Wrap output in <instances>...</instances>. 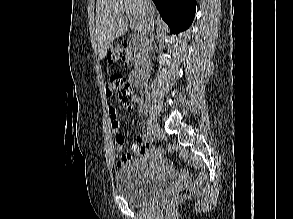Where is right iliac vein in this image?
<instances>
[{"label":"right iliac vein","instance_id":"63e3f726","mask_svg":"<svg viewBox=\"0 0 293 219\" xmlns=\"http://www.w3.org/2000/svg\"><path fill=\"white\" fill-rule=\"evenodd\" d=\"M147 127L150 131V134H152V135H155L160 129L158 123L153 118L148 119Z\"/></svg>","mask_w":293,"mask_h":219}]
</instances>
